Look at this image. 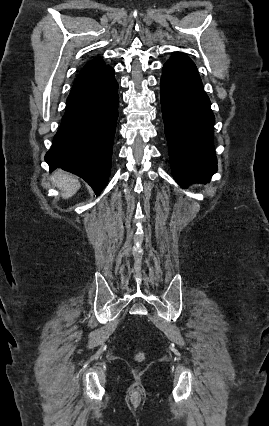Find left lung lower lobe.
I'll return each mask as SVG.
<instances>
[{"label":"left lung lower lobe","instance_id":"left-lung-lower-lobe-1","mask_svg":"<svg viewBox=\"0 0 269 426\" xmlns=\"http://www.w3.org/2000/svg\"><path fill=\"white\" fill-rule=\"evenodd\" d=\"M161 105L174 179L181 187L208 182L217 171L215 117L193 61L174 52L162 68Z\"/></svg>","mask_w":269,"mask_h":426}]
</instances>
